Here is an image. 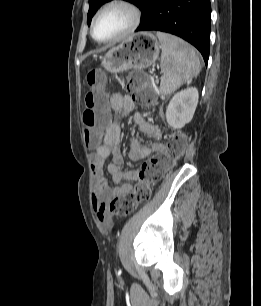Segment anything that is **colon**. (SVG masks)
Listing matches in <instances>:
<instances>
[{"label":"colon","mask_w":261,"mask_h":306,"mask_svg":"<svg viewBox=\"0 0 261 306\" xmlns=\"http://www.w3.org/2000/svg\"><path fill=\"white\" fill-rule=\"evenodd\" d=\"M87 82L90 89L85 96L84 133L88 145L96 146L107 125L105 104L108 79L102 70L94 68L88 71ZM127 89L132 95V100L138 104L149 105L155 99L154 90L147 77L141 72L134 71L128 74ZM186 144V137L176 134L162 150L144 161L138 170V181L134 189L119 194L111 201L108 208L110 216L113 218L127 216L140 203L148 200L152 185L162 180L183 155Z\"/></svg>","instance_id":"colon-1"}]
</instances>
